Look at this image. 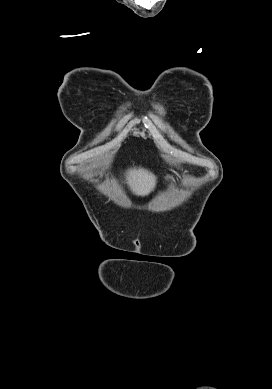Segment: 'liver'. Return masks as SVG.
I'll use <instances>...</instances> for the list:
<instances>
[{"label":"liver","mask_w":272,"mask_h":389,"mask_svg":"<svg viewBox=\"0 0 272 389\" xmlns=\"http://www.w3.org/2000/svg\"><path fill=\"white\" fill-rule=\"evenodd\" d=\"M126 178L131 191L138 196L148 195L156 186L155 175L141 167L130 169Z\"/></svg>","instance_id":"liver-1"}]
</instances>
